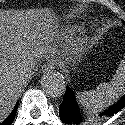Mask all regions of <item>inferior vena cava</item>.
Returning a JSON list of instances; mask_svg holds the SVG:
<instances>
[{
    "instance_id": "602c4592",
    "label": "inferior vena cava",
    "mask_w": 125,
    "mask_h": 125,
    "mask_svg": "<svg viewBox=\"0 0 125 125\" xmlns=\"http://www.w3.org/2000/svg\"><path fill=\"white\" fill-rule=\"evenodd\" d=\"M32 65H34V60H30V61L27 63V66L24 67V69L22 68V69L20 70V79H21V80L24 81L25 79H27V77H28L27 72H29V71L31 70Z\"/></svg>"
}]
</instances>
